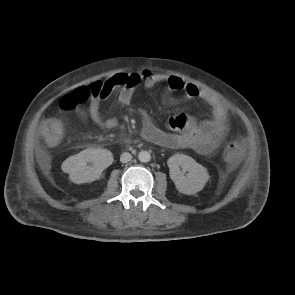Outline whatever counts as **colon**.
Wrapping results in <instances>:
<instances>
[{"mask_svg":"<svg viewBox=\"0 0 295 295\" xmlns=\"http://www.w3.org/2000/svg\"><path fill=\"white\" fill-rule=\"evenodd\" d=\"M137 78L129 74H116L107 80H101L91 86H81L75 89L72 93L65 95L61 101V106L65 110H73L80 104L88 101L94 96L111 93L114 90H121L123 88L134 85ZM41 134L45 142L50 146H55L60 143L63 137L62 123L57 119H48L41 125ZM244 153V143L237 135H229L224 157L230 164L238 163Z\"/></svg>","mask_w":295,"mask_h":295,"instance_id":"obj_1","label":"colon"}]
</instances>
